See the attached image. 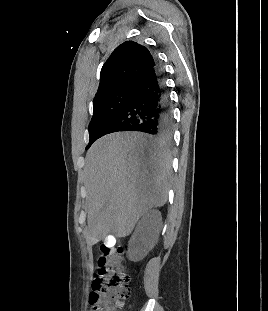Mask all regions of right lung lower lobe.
<instances>
[{
	"label": "right lung lower lobe",
	"mask_w": 268,
	"mask_h": 311,
	"mask_svg": "<svg viewBox=\"0 0 268 311\" xmlns=\"http://www.w3.org/2000/svg\"><path fill=\"white\" fill-rule=\"evenodd\" d=\"M172 128L169 97L161 68L155 61L154 67L136 83L129 102L109 124L104 135L118 131H139L169 140Z\"/></svg>",
	"instance_id": "obj_1"
}]
</instances>
